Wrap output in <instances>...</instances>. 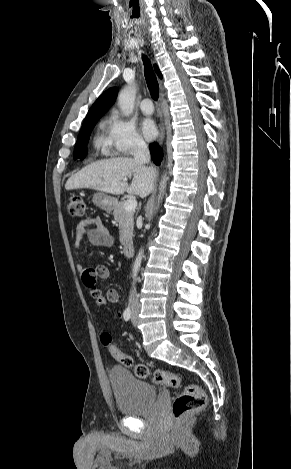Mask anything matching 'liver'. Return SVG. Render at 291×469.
Returning <instances> with one entry per match:
<instances>
[{
  "label": "liver",
  "instance_id": "obj_1",
  "mask_svg": "<svg viewBox=\"0 0 291 469\" xmlns=\"http://www.w3.org/2000/svg\"><path fill=\"white\" fill-rule=\"evenodd\" d=\"M156 176L154 167L133 158L118 157L87 165L67 180L65 188H90L115 195L127 192L145 198L152 192ZM128 177H133L130 185Z\"/></svg>",
  "mask_w": 291,
  "mask_h": 469
}]
</instances>
